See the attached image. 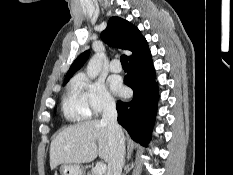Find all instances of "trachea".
Here are the masks:
<instances>
[{
  "mask_svg": "<svg viewBox=\"0 0 233 175\" xmlns=\"http://www.w3.org/2000/svg\"><path fill=\"white\" fill-rule=\"evenodd\" d=\"M120 61L123 67H129L128 58L126 55L120 57Z\"/></svg>",
  "mask_w": 233,
  "mask_h": 175,
  "instance_id": "1",
  "label": "trachea"
}]
</instances>
